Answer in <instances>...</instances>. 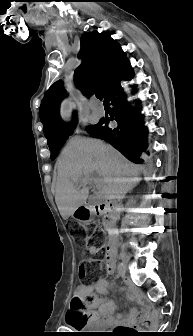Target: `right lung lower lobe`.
Returning a JSON list of instances; mask_svg holds the SVG:
<instances>
[{"mask_svg":"<svg viewBox=\"0 0 193 336\" xmlns=\"http://www.w3.org/2000/svg\"><path fill=\"white\" fill-rule=\"evenodd\" d=\"M132 70L127 64L121 74L109 88L104 96L106 103L113 105V115L99 122V127L91 133L95 138L109 142L119 150L126 158L134 163H142L141 154L146 151L147 130L141 124V116L133 114L120 86L121 79H128ZM115 120L117 127L110 129L103 127V123ZM136 127L138 130H136ZM147 154H149L147 152Z\"/></svg>","mask_w":193,"mask_h":336,"instance_id":"right-lung-lower-lobe-1","label":"right lung lower lobe"}]
</instances>
